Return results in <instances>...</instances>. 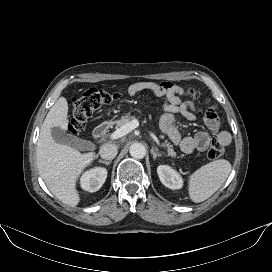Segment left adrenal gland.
I'll list each match as a JSON object with an SVG mask.
<instances>
[{"instance_id":"obj_1","label":"left adrenal gland","mask_w":272,"mask_h":272,"mask_svg":"<svg viewBox=\"0 0 272 272\" xmlns=\"http://www.w3.org/2000/svg\"><path fill=\"white\" fill-rule=\"evenodd\" d=\"M151 154L153 155V159L155 160L157 157H161V154L156 152L154 148L151 149Z\"/></svg>"}]
</instances>
